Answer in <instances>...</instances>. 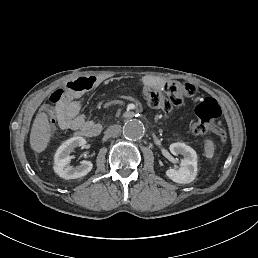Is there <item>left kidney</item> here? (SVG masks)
Listing matches in <instances>:
<instances>
[{
  "label": "left kidney",
  "instance_id": "5707ae66",
  "mask_svg": "<svg viewBox=\"0 0 258 258\" xmlns=\"http://www.w3.org/2000/svg\"><path fill=\"white\" fill-rule=\"evenodd\" d=\"M169 150L173 155L181 154L184 159L181 160L179 169H168L166 175L176 183H191L195 180L198 173L196 151L184 143H173Z\"/></svg>",
  "mask_w": 258,
  "mask_h": 258
}]
</instances>
